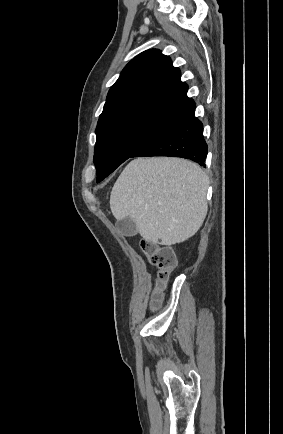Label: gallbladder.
Segmentation results:
<instances>
[{"mask_svg": "<svg viewBox=\"0 0 283 434\" xmlns=\"http://www.w3.org/2000/svg\"><path fill=\"white\" fill-rule=\"evenodd\" d=\"M116 226L127 237L135 236L138 233L136 223L129 217L117 221Z\"/></svg>", "mask_w": 283, "mask_h": 434, "instance_id": "gallbladder-1", "label": "gallbladder"}]
</instances>
